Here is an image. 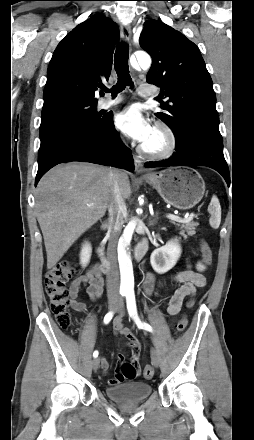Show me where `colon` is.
Masks as SVG:
<instances>
[{"instance_id": "obj_1", "label": "colon", "mask_w": 254, "mask_h": 440, "mask_svg": "<svg viewBox=\"0 0 254 440\" xmlns=\"http://www.w3.org/2000/svg\"><path fill=\"white\" fill-rule=\"evenodd\" d=\"M200 250L205 264H210L213 259V251L205 241H200ZM75 269L69 262H60L48 270L45 276V291L50 301V308L55 315L57 324L67 329L71 325V316L68 311L70 304V293L66 288V283L74 275ZM187 319L182 317L176 325L178 333L185 331ZM122 374L125 380L131 381L138 375L137 368L131 362L121 365ZM144 376L151 378L154 374L153 368L147 365L144 368Z\"/></svg>"}]
</instances>
